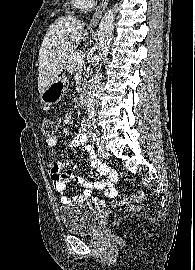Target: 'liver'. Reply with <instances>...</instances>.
<instances>
[{"mask_svg": "<svg viewBox=\"0 0 195 270\" xmlns=\"http://www.w3.org/2000/svg\"><path fill=\"white\" fill-rule=\"evenodd\" d=\"M84 23L71 15L51 24L39 51L38 91L42 93L63 71L70 55L88 37Z\"/></svg>", "mask_w": 195, "mask_h": 270, "instance_id": "obj_1", "label": "liver"}]
</instances>
